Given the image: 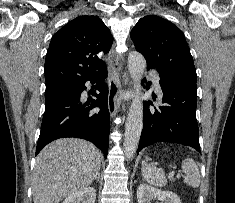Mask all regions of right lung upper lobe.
I'll return each mask as SVG.
<instances>
[{"mask_svg": "<svg viewBox=\"0 0 235 203\" xmlns=\"http://www.w3.org/2000/svg\"><path fill=\"white\" fill-rule=\"evenodd\" d=\"M113 37L98 16H80L53 36L45 59L46 86L73 84L105 68L97 57L109 52Z\"/></svg>", "mask_w": 235, "mask_h": 203, "instance_id": "1", "label": "right lung upper lobe"}]
</instances>
